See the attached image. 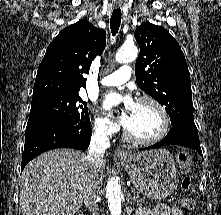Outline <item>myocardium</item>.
Returning <instances> with one entry per match:
<instances>
[{
  "label": "myocardium",
  "mask_w": 221,
  "mask_h": 215,
  "mask_svg": "<svg viewBox=\"0 0 221 215\" xmlns=\"http://www.w3.org/2000/svg\"><path fill=\"white\" fill-rule=\"evenodd\" d=\"M148 102L152 104L157 110L161 118V129L157 135L151 138H140L135 135H133L125 126L124 128V136L125 138L135 144L139 145H152L160 142L165 138L167 135L169 128H170V118L169 114L164 107V105L158 101L156 98L149 96V95H144L138 98L137 103H144Z\"/></svg>",
  "instance_id": "1"
}]
</instances>
